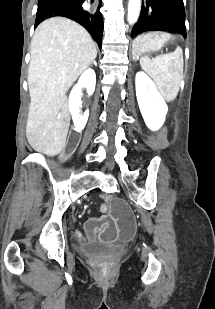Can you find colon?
Instances as JSON below:
<instances>
[{
  "instance_id": "1",
  "label": "colon",
  "mask_w": 215,
  "mask_h": 309,
  "mask_svg": "<svg viewBox=\"0 0 215 309\" xmlns=\"http://www.w3.org/2000/svg\"><path fill=\"white\" fill-rule=\"evenodd\" d=\"M117 248H118V249H121V248H123V246L120 245V246H117Z\"/></svg>"
}]
</instances>
